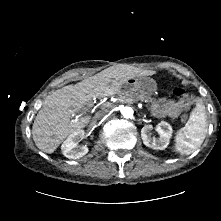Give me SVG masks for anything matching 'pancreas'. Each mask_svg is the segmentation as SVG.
I'll use <instances>...</instances> for the list:
<instances>
[{
    "label": "pancreas",
    "mask_w": 221,
    "mask_h": 221,
    "mask_svg": "<svg viewBox=\"0 0 221 221\" xmlns=\"http://www.w3.org/2000/svg\"><path fill=\"white\" fill-rule=\"evenodd\" d=\"M123 100H127L129 102H135L137 100H142L145 101L147 103L152 102V99L150 96L148 95H143V96H139V97H135L133 94H127L126 96L122 97Z\"/></svg>",
    "instance_id": "pancreas-1"
}]
</instances>
